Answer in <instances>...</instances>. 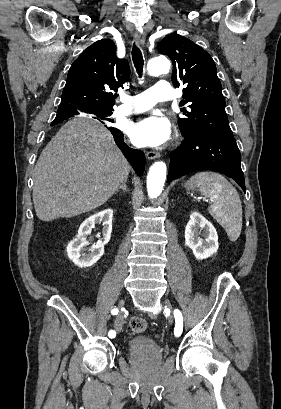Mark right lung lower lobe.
Here are the masks:
<instances>
[{
	"instance_id": "1",
	"label": "right lung lower lobe",
	"mask_w": 281,
	"mask_h": 409,
	"mask_svg": "<svg viewBox=\"0 0 281 409\" xmlns=\"http://www.w3.org/2000/svg\"><path fill=\"white\" fill-rule=\"evenodd\" d=\"M79 112H75L72 110L68 111H60L57 113V116L55 120H64L69 117H72ZM86 113H91L95 114L93 112H86ZM110 131L114 137V140L117 144V146L121 149L127 160L131 163L132 167L136 171L137 175H142L144 168H145V156L144 153L140 150L132 149L127 146V144L124 143L123 141V134L120 130L116 128H110Z\"/></svg>"
}]
</instances>
